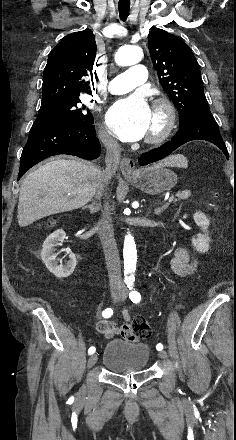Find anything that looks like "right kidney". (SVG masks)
<instances>
[{
    "label": "right kidney",
    "mask_w": 236,
    "mask_h": 440,
    "mask_svg": "<svg viewBox=\"0 0 236 440\" xmlns=\"http://www.w3.org/2000/svg\"><path fill=\"white\" fill-rule=\"evenodd\" d=\"M66 233L62 229H58L49 235L42 245L41 259L47 269L53 273L57 278H66L70 276L77 264V259L71 250H66L69 255V260L64 264H59L60 259L57 258L56 246L62 245Z\"/></svg>",
    "instance_id": "right-kidney-1"
}]
</instances>
